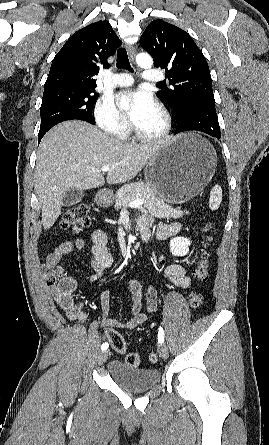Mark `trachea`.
Here are the masks:
<instances>
[{
	"mask_svg": "<svg viewBox=\"0 0 269 445\" xmlns=\"http://www.w3.org/2000/svg\"><path fill=\"white\" fill-rule=\"evenodd\" d=\"M116 66L118 68H123V69L129 70V71H132L126 49H124V48L118 49Z\"/></svg>",
	"mask_w": 269,
	"mask_h": 445,
	"instance_id": "3493384b",
	"label": "trachea"
}]
</instances>
